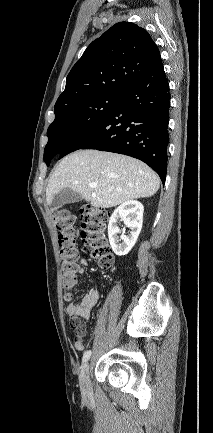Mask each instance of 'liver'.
Listing matches in <instances>:
<instances>
[{
    "label": "liver",
    "mask_w": 213,
    "mask_h": 433,
    "mask_svg": "<svg viewBox=\"0 0 213 433\" xmlns=\"http://www.w3.org/2000/svg\"><path fill=\"white\" fill-rule=\"evenodd\" d=\"M89 183H96L90 188ZM158 175L142 161L111 152L79 150L66 156L51 175L46 188L50 205L62 189L78 192L96 208H110L126 201L153 196Z\"/></svg>",
    "instance_id": "1"
}]
</instances>
